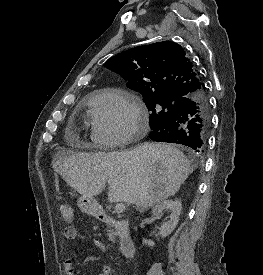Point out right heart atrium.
I'll return each instance as SVG.
<instances>
[{
	"label": "right heart atrium",
	"mask_w": 263,
	"mask_h": 275,
	"mask_svg": "<svg viewBox=\"0 0 263 275\" xmlns=\"http://www.w3.org/2000/svg\"><path fill=\"white\" fill-rule=\"evenodd\" d=\"M93 138L103 146H116L134 139L145 124L139 101L130 94L105 89L92 99Z\"/></svg>",
	"instance_id": "obj_1"
}]
</instances>
